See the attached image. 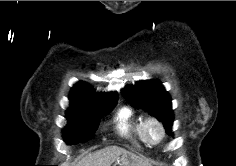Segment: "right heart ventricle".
<instances>
[{
  "instance_id": "obj_1",
  "label": "right heart ventricle",
  "mask_w": 236,
  "mask_h": 166,
  "mask_svg": "<svg viewBox=\"0 0 236 166\" xmlns=\"http://www.w3.org/2000/svg\"><path fill=\"white\" fill-rule=\"evenodd\" d=\"M142 122L143 117L137 115L128 106L122 107L116 115L117 128L121 135L136 142L145 143L141 131Z\"/></svg>"
}]
</instances>
